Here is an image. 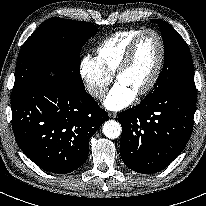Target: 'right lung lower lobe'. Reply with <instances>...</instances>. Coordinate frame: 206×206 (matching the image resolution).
<instances>
[{"label":"right lung lower lobe","instance_id":"right-lung-lower-lobe-1","mask_svg":"<svg viewBox=\"0 0 206 206\" xmlns=\"http://www.w3.org/2000/svg\"><path fill=\"white\" fill-rule=\"evenodd\" d=\"M12 127L24 154L40 168L70 173L86 161L89 139L108 119L85 89L41 77L12 96Z\"/></svg>","mask_w":206,"mask_h":206}]
</instances>
